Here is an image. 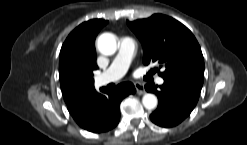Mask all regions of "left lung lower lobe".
<instances>
[{
    "mask_svg": "<svg viewBox=\"0 0 247 145\" xmlns=\"http://www.w3.org/2000/svg\"><path fill=\"white\" fill-rule=\"evenodd\" d=\"M145 88L158 96V107L150 118L161 127H173L182 122L196 106L201 91L200 87L178 79H164L159 90L155 85Z\"/></svg>",
    "mask_w": 247,
    "mask_h": 145,
    "instance_id": "obj_1",
    "label": "left lung lower lobe"
}]
</instances>
